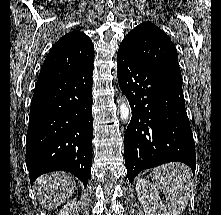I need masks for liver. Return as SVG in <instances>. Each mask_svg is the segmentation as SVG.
Instances as JSON below:
<instances>
[{
  "label": "liver",
  "mask_w": 221,
  "mask_h": 215,
  "mask_svg": "<svg viewBox=\"0 0 221 215\" xmlns=\"http://www.w3.org/2000/svg\"><path fill=\"white\" fill-rule=\"evenodd\" d=\"M76 189L74 177L64 172H54L39 177L34 192L44 208L55 209L63 204Z\"/></svg>",
  "instance_id": "obj_1"
}]
</instances>
